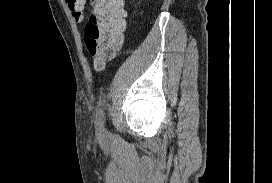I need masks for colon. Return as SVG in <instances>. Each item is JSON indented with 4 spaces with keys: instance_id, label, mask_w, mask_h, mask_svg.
I'll use <instances>...</instances> for the list:
<instances>
[{
    "instance_id": "5ec220e1",
    "label": "colon",
    "mask_w": 272,
    "mask_h": 183,
    "mask_svg": "<svg viewBox=\"0 0 272 183\" xmlns=\"http://www.w3.org/2000/svg\"><path fill=\"white\" fill-rule=\"evenodd\" d=\"M86 2L66 0L77 21L82 19ZM124 27V0H89L84 42L97 68H102L121 48Z\"/></svg>"
}]
</instances>
